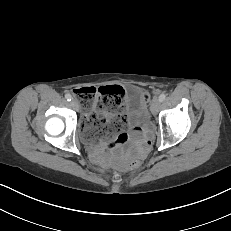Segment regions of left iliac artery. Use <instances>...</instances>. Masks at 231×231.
Here are the masks:
<instances>
[{"label": "left iliac artery", "mask_w": 231, "mask_h": 231, "mask_svg": "<svg viewBox=\"0 0 231 231\" xmlns=\"http://www.w3.org/2000/svg\"><path fill=\"white\" fill-rule=\"evenodd\" d=\"M166 98V95L164 93H162L160 96H159V100L162 102L164 99Z\"/></svg>", "instance_id": "44dca946"}]
</instances>
